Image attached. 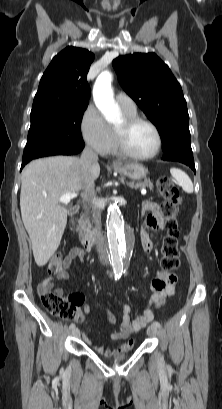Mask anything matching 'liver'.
<instances>
[{"instance_id":"liver-1","label":"liver","mask_w":222,"mask_h":409,"mask_svg":"<svg viewBox=\"0 0 222 409\" xmlns=\"http://www.w3.org/2000/svg\"><path fill=\"white\" fill-rule=\"evenodd\" d=\"M99 174V164L86 172L79 158L69 156L36 159L22 172L21 216L38 266H44L56 252L67 224L68 210L60 204V197L84 190L89 178L96 180Z\"/></svg>"}]
</instances>
